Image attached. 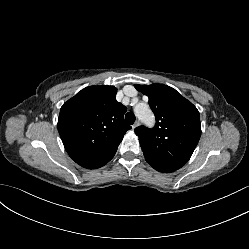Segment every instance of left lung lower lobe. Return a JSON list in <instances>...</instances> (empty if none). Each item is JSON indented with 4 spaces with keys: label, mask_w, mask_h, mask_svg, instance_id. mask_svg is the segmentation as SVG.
Masks as SVG:
<instances>
[{
    "label": "left lung lower lobe",
    "mask_w": 249,
    "mask_h": 249,
    "mask_svg": "<svg viewBox=\"0 0 249 249\" xmlns=\"http://www.w3.org/2000/svg\"><path fill=\"white\" fill-rule=\"evenodd\" d=\"M154 169H156L157 171H160V172H173L175 171L176 169H173V168H170V167H155V166H152Z\"/></svg>",
    "instance_id": "1"
}]
</instances>
